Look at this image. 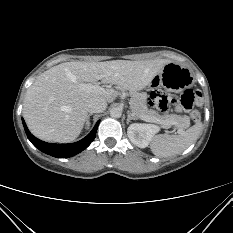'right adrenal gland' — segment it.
Masks as SVG:
<instances>
[{
	"label": "right adrenal gland",
	"instance_id": "1",
	"mask_svg": "<svg viewBox=\"0 0 233 233\" xmlns=\"http://www.w3.org/2000/svg\"><path fill=\"white\" fill-rule=\"evenodd\" d=\"M92 115V113L88 114L87 119H86V125L89 126L90 125V116Z\"/></svg>",
	"mask_w": 233,
	"mask_h": 233
}]
</instances>
